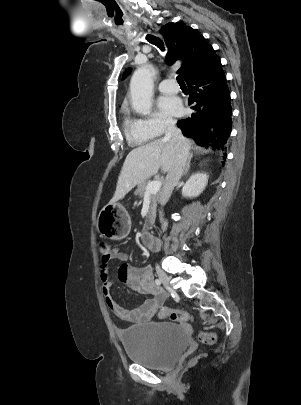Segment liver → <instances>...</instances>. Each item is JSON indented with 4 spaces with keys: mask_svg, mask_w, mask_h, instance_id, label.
Returning <instances> with one entry per match:
<instances>
[{
    "mask_svg": "<svg viewBox=\"0 0 301 405\" xmlns=\"http://www.w3.org/2000/svg\"><path fill=\"white\" fill-rule=\"evenodd\" d=\"M190 146V141L186 139ZM176 156V144L164 138L133 149L127 155L110 204L123 199L135 186L156 175L161 168L168 172Z\"/></svg>",
    "mask_w": 301,
    "mask_h": 405,
    "instance_id": "liver-1",
    "label": "liver"
}]
</instances>
